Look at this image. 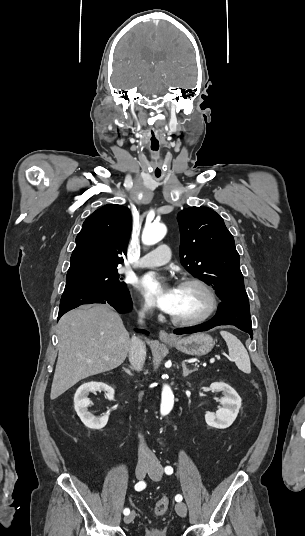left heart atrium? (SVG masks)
I'll use <instances>...</instances> for the list:
<instances>
[{
	"label": "left heart atrium",
	"mask_w": 305,
	"mask_h": 536,
	"mask_svg": "<svg viewBox=\"0 0 305 536\" xmlns=\"http://www.w3.org/2000/svg\"><path fill=\"white\" fill-rule=\"evenodd\" d=\"M177 288L178 286L155 274H146L137 283L140 294L165 312H172L176 303Z\"/></svg>",
	"instance_id": "obj_1"
}]
</instances>
